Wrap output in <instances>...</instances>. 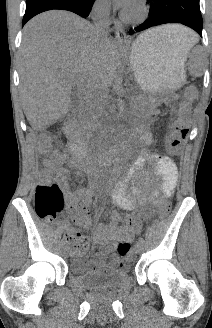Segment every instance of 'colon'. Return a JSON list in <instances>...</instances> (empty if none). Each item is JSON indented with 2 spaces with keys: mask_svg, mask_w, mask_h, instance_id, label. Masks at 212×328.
I'll return each mask as SVG.
<instances>
[{
  "mask_svg": "<svg viewBox=\"0 0 212 328\" xmlns=\"http://www.w3.org/2000/svg\"><path fill=\"white\" fill-rule=\"evenodd\" d=\"M199 92L197 88L191 86L185 92L184 101L181 104L182 116L171 126L168 149L173 154L181 151L183 141L189 132V118L192 104L197 100ZM51 147V138L44 136L39 142V151L46 153ZM34 207L37 216L45 222H54L57 215L64 207V193L57 183H42L35 189ZM171 202L166 201L160 208L159 215L165 218L171 211ZM74 250L85 247L86 238L81 232H73L65 235ZM131 252V245L124 241L118 245V253L121 257H128Z\"/></svg>",
  "mask_w": 212,
  "mask_h": 328,
  "instance_id": "colon-1",
  "label": "colon"
}]
</instances>
